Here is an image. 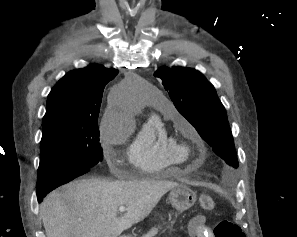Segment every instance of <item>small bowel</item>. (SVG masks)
I'll return each instance as SVG.
<instances>
[{
    "mask_svg": "<svg viewBox=\"0 0 297 237\" xmlns=\"http://www.w3.org/2000/svg\"><path fill=\"white\" fill-rule=\"evenodd\" d=\"M193 237H214L211 230L202 222H197L190 230Z\"/></svg>",
    "mask_w": 297,
    "mask_h": 237,
    "instance_id": "obj_1",
    "label": "small bowel"
}]
</instances>
